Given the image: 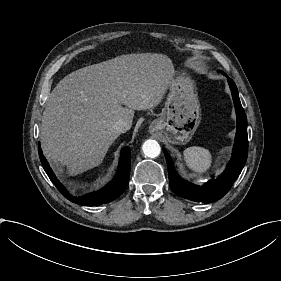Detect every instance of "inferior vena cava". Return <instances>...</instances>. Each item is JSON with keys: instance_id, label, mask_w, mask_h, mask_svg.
Returning <instances> with one entry per match:
<instances>
[{"instance_id": "inferior-vena-cava-1", "label": "inferior vena cava", "mask_w": 281, "mask_h": 281, "mask_svg": "<svg viewBox=\"0 0 281 281\" xmlns=\"http://www.w3.org/2000/svg\"><path fill=\"white\" fill-rule=\"evenodd\" d=\"M114 129H116L120 133H125L128 131L131 127V124H129L127 121L123 119H119L116 121L113 125Z\"/></svg>"}]
</instances>
